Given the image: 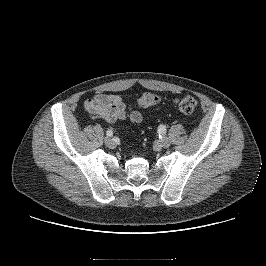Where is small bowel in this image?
<instances>
[{"mask_svg":"<svg viewBox=\"0 0 266 266\" xmlns=\"http://www.w3.org/2000/svg\"><path fill=\"white\" fill-rule=\"evenodd\" d=\"M85 110L109 123L128 119L132 124H138L143 120L142 113L118 94H95L86 101Z\"/></svg>","mask_w":266,"mask_h":266,"instance_id":"small-bowel-1","label":"small bowel"}]
</instances>
